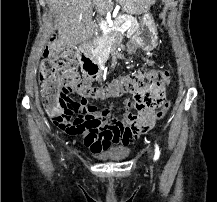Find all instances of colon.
<instances>
[{"label": "colon", "instance_id": "1", "mask_svg": "<svg viewBox=\"0 0 217 202\" xmlns=\"http://www.w3.org/2000/svg\"><path fill=\"white\" fill-rule=\"evenodd\" d=\"M47 41H52V36H47ZM43 64L39 68V82L41 86L39 91H45L43 103H47L45 111L49 112V119H54L57 128L69 134H81L87 130L100 131L108 124L113 125L112 131H144L146 126L152 129L147 122L150 117L142 115L132 116L118 120L115 118H101L95 115V107L88 106L86 98L82 102H76L70 99V89H68L69 77L67 73H75L74 59H68L72 54V47H51V49H42ZM56 55H61V62L56 63ZM76 77V74H72ZM172 78V73L168 70L160 71H140L131 74L125 81L126 87L131 88L134 98L135 108L141 111H149L155 108L161 99H164L166 86ZM129 82H140V87H129ZM84 97L90 95V91L84 90ZM165 100V99H164ZM169 103L158 110L157 120L159 121L165 114ZM157 121V122H158ZM147 130V131H148Z\"/></svg>", "mask_w": 217, "mask_h": 202}]
</instances>
